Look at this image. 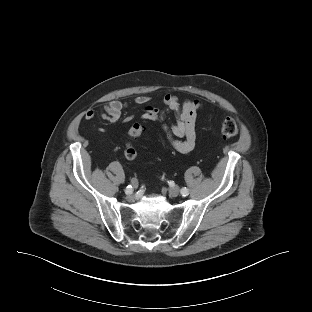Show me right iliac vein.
Masks as SVG:
<instances>
[{"mask_svg":"<svg viewBox=\"0 0 312 312\" xmlns=\"http://www.w3.org/2000/svg\"><path fill=\"white\" fill-rule=\"evenodd\" d=\"M132 185L134 188H137L138 187V181L136 179H133L132 180ZM131 193H129L128 195H130Z\"/></svg>","mask_w":312,"mask_h":312,"instance_id":"right-iliac-vein-1","label":"right iliac vein"}]
</instances>
